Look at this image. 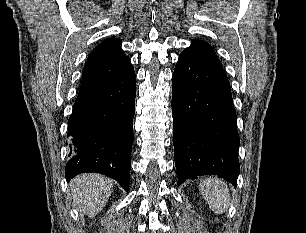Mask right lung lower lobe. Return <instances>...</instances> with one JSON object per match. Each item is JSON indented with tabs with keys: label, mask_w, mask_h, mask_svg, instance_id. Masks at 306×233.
I'll use <instances>...</instances> for the list:
<instances>
[{
	"label": "right lung lower lobe",
	"mask_w": 306,
	"mask_h": 233,
	"mask_svg": "<svg viewBox=\"0 0 306 233\" xmlns=\"http://www.w3.org/2000/svg\"><path fill=\"white\" fill-rule=\"evenodd\" d=\"M135 80L131 67L115 82L78 94L68 120L67 180L96 172L114 178L128 191Z\"/></svg>",
	"instance_id": "98d812e1"
}]
</instances>
